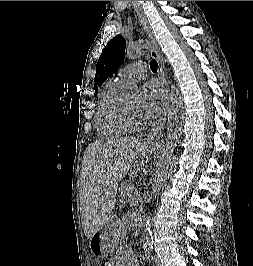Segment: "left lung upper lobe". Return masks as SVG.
Masks as SVG:
<instances>
[{"label":"left lung upper lobe","mask_w":253,"mask_h":266,"mask_svg":"<svg viewBox=\"0 0 253 266\" xmlns=\"http://www.w3.org/2000/svg\"><path fill=\"white\" fill-rule=\"evenodd\" d=\"M126 40L121 36L117 35L102 51V54L96 65V75L94 78V88L96 96L98 87L111 76L122 64L125 56Z\"/></svg>","instance_id":"1"}]
</instances>
